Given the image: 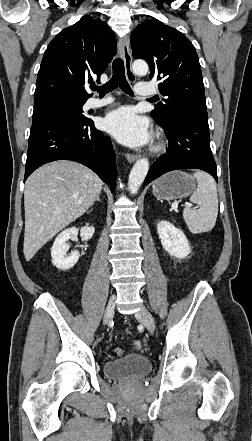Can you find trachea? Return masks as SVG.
<instances>
[{
	"label": "trachea",
	"instance_id": "3493384b",
	"mask_svg": "<svg viewBox=\"0 0 252 441\" xmlns=\"http://www.w3.org/2000/svg\"><path fill=\"white\" fill-rule=\"evenodd\" d=\"M113 75L112 78L104 85L97 87L91 86V89L97 91L100 96H104L106 93L115 90L116 88H120L126 94L133 96L134 93L129 86L124 70V63L121 58H116L113 61ZM156 98H150L149 100H155Z\"/></svg>",
	"mask_w": 252,
	"mask_h": 441
}]
</instances>
